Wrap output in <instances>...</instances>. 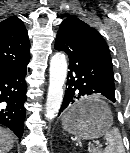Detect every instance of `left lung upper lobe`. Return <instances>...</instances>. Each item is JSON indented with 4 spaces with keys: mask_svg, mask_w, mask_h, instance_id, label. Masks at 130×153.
I'll list each match as a JSON object with an SVG mask.
<instances>
[{
    "mask_svg": "<svg viewBox=\"0 0 130 153\" xmlns=\"http://www.w3.org/2000/svg\"><path fill=\"white\" fill-rule=\"evenodd\" d=\"M57 34L89 49L112 70L109 48L96 29L79 18L70 16L61 23Z\"/></svg>",
    "mask_w": 130,
    "mask_h": 153,
    "instance_id": "1",
    "label": "left lung upper lobe"
}]
</instances>
